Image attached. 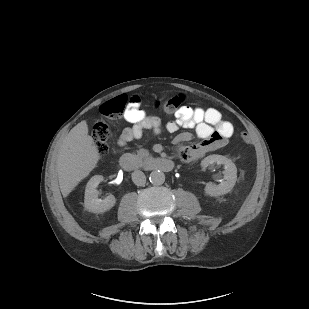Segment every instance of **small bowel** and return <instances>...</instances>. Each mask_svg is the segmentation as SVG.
<instances>
[{"instance_id":"c3829d8e","label":"small bowel","mask_w":309,"mask_h":309,"mask_svg":"<svg viewBox=\"0 0 309 309\" xmlns=\"http://www.w3.org/2000/svg\"><path fill=\"white\" fill-rule=\"evenodd\" d=\"M124 118L133 125L122 133L118 140L119 146H124L129 140L140 138L145 130H150L154 134L161 131L160 119L144 112L141 108V98L138 96L132 97L129 101ZM180 128L194 130L199 139V142L194 145L181 147V160L186 164L196 162L209 152L222 147L234 132L233 125L223 120L217 109L192 108L190 106L180 107L175 112V119L166 125V129L170 133H175ZM191 139L192 133L185 131L179 133L174 141L177 144H184Z\"/></svg>"}]
</instances>
